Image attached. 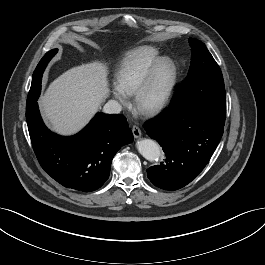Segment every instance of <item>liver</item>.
<instances>
[{
    "label": "liver",
    "instance_id": "obj_1",
    "mask_svg": "<svg viewBox=\"0 0 265 265\" xmlns=\"http://www.w3.org/2000/svg\"><path fill=\"white\" fill-rule=\"evenodd\" d=\"M106 64L73 67L50 83L39 104L51 128L61 135L80 131L110 95Z\"/></svg>",
    "mask_w": 265,
    "mask_h": 265
}]
</instances>
